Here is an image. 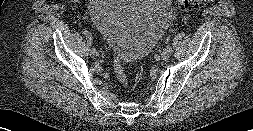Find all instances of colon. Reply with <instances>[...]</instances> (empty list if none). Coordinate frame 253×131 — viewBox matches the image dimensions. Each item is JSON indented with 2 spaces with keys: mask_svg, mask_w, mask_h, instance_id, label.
<instances>
[{
  "mask_svg": "<svg viewBox=\"0 0 253 131\" xmlns=\"http://www.w3.org/2000/svg\"><path fill=\"white\" fill-rule=\"evenodd\" d=\"M212 1L214 0H176V4L178 7L182 9H187L190 6H197L202 3L212 2ZM114 71H115L118 81L123 85H127L128 84L127 75L118 57L114 58Z\"/></svg>",
  "mask_w": 253,
  "mask_h": 131,
  "instance_id": "1",
  "label": "colon"
}]
</instances>
